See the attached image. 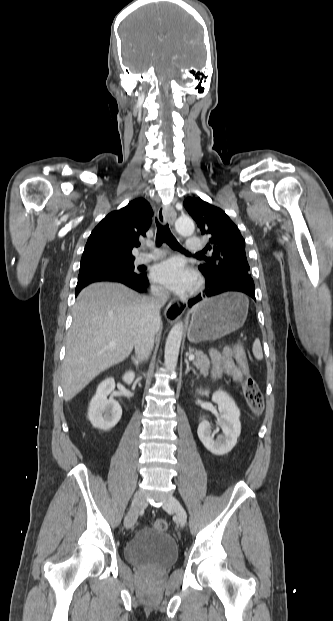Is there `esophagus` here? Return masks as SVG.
<instances>
[{"label":"esophagus","instance_id":"esophagus-1","mask_svg":"<svg viewBox=\"0 0 333 621\" xmlns=\"http://www.w3.org/2000/svg\"><path fill=\"white\" fill-rule=\"evenodd\" d=\"M157 217L160 223L168 222L173 225L176 219V211L172 206H160L157 212ZM186 308L185 301H173L169 303L165 308V317L170 323H174Z\"/></svg>","mask_w":333,"mask_h":621}]
</instances>
